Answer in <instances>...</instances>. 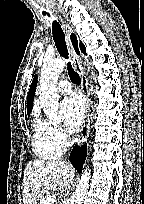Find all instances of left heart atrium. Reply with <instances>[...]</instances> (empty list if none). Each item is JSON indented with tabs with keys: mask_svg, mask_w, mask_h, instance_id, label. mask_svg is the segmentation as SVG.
Segmentation results:
<instances>
[{
	"mask_svg": "<svg viewBox=\"0 0 144 204\" xmlns=\"http://www.w3.org/2000/svg\"><path fill=\"white\" fill-rule=\"evenodd\" d=\"M61 113L66 127L70 131H76L83 120L84 103L80 96L72 95L61 103Z\"/></svg>",
	"mask_w": 144,
	"mask_h": 204,
	"instance_id": "left-heart-atrium-1",
	"label": "left heart atrium"
}]
</instances>
